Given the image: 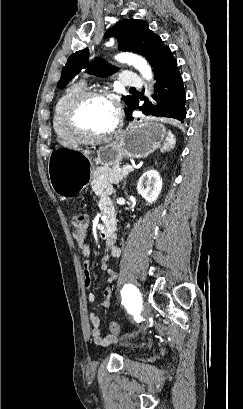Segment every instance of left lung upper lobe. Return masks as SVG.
Here are the masks:
<instances>
[{"label":"left lung upper lobe","mask_w":243,"mask_h":409,"mask_svg":"<svg viewBox=\"0 0 243 409\" xmlns=\"http://www.w3.org/2000/svg\"><path fill=\"white\" fill-rule=\"evenodd\" d=\"M114 36L123 51H132L143 55L153 68L154 74L174 60L172 52L161 40L160 36L149 29L147 22L136 19H123L110 28L105 37ZM89 50L73 53L62 69L58 87L66 86L81 70L86 69L89 74L106 77L118 69L110 66L100 59L89 62ZM134 96H124L123 100L128 105V110L135 101Z\"/></svg>","instance_id":"5c2ea615"}]
</instances>
